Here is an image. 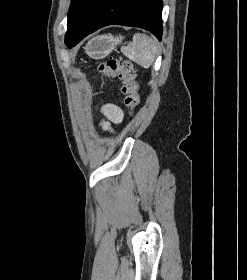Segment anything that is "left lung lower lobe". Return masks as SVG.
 <instances>
[{
	"label": "left lung lower lobe",
	"mask_w": 247,
	"mask_h": 280,
	"mask_svg": "<svg viewBox=\"0 0 247 280\" xmlns=\"http://www.w3.org/2000/svg\"><path fill=\"white\" fill-rule=\"evenodd\" d=\"M162 7V0H101L78 32L65 37V44L71 48L87 35L112 24L140 27L161 40Z\"/></svg>",
	"instance_id": "left-lung-lower-lobe-1"
}]
</instances>
